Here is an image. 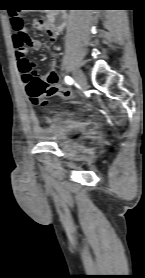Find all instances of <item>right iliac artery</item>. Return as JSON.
I'll return each mask as SVG.
<instances>
[{
  "label": "right iliac artery",
  "mask_w": 145,
  "mask_h": 278,
  "mask_svg": "<svg viewBox=\"0 0 145 278\" xmlns=\"http://www.w3.org/2000/svg\"><path fill=\"white\" fill-rule=\"evenodd\" d=\"M65 82L69 85H72L73 84V79L70 76H66L65 77Z\"/></svg>",
  "instance_id": "obj_1"
}]
</instances>
